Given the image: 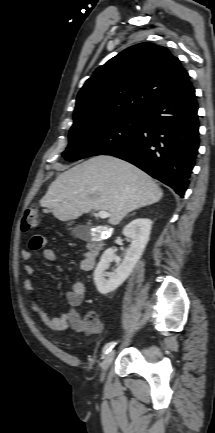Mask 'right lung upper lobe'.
Wrapping results in <instances>:
<instances>
[{"instance_id":"cb5924a9","label":"right lung upper lobe","mask_w":215,"mask_h":433,"mask_svg":"<svg viewBox=\"0 0 215 433\" xmlns=\"http://www.w3.org/2000/svg\"><path fill=\"white\" fill-rule=\"evenodd\" d=\"M180 60L165 47L133 45L96 69L76 99L74 124L143 115L190 83Z\"/></svg>"}]
</instances>
